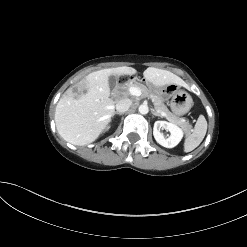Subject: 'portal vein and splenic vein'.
I'll return each instance as SVG.
<instances>
[{"label":"portal vein and splenic vein","mask_w":247,"mask_h":247,"mask_svg":"<svg viewBox=\"0 0 247 247\" xmlns=\"http://www.w3.org/2000/svg\"><path fill=\"white\" fill-rule=\"evenodd\" d=\"M129 93L133 96H140L142 94L141 90L138 87H130ZM161 116L166 117V114L164 112H160Z\"/></svg>","instance_id":"18ae733b"}]
</instances>
